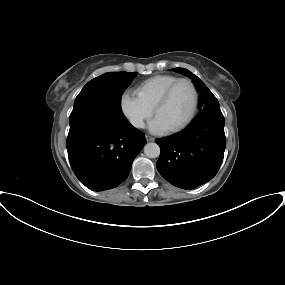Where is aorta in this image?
I'll return each mask as SVG.
<instances>
[{"mask_svg":"<svg viewBox=\"0 0 285 285\" xmlns=\"http://www.w3.org/2000/svg\"><path fill=\"white\" fill-rule=\"evenodd\" d=\"M144 153L149 158H157L160 155V147L156 143H147L144 146Z\"/></svg>","mask_w":285,"mask_h":285,"instance_id":"obj_1","label":"aorta"}]
</instances>
